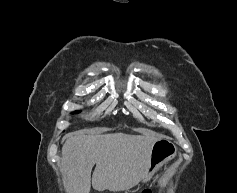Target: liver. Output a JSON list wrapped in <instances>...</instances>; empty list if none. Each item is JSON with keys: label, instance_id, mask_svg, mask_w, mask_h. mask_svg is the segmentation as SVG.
I'll return each mask as SVG.
<instances>
[{"label": "liver", "instance_id": "liver-1", "mask_svg": "<svg viewBox=\"0 0 237 193\" xmlns=\"http://www.w3.org/2000/svg\"><path fill=\"white\" fill-rule=\"evenodd\" d=\"M154 136L124 133H71L62 147L60 168L67 193H89L92 187L111 192L129 190L144 177Z\"/></svg>", "mask_w": 237, "mask_h": 193}]
</instances>
